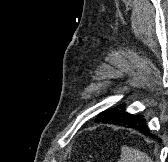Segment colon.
Returning <instances> with one entry per match:
<instances>
[{"mask_svg":"<svg viewBox=\"0 0 168 162\" xmlns=\"http://www.w3.org/2000/svg\"><path fill=\"white\" fill-rule=\"evenodd\" d=\"M85 162H90L89 160H86Z\"/></svg>","mask_w":168,"mask_h":162,"instance_id":"obj_1","label":"colon"}]
</instances>
